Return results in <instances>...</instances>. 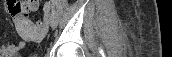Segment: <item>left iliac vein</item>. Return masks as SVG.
Listing matches in <instances>:
<instances>
[{
  "label": "left iliac vein",
  "instance_id": "4c4485c4",
  "mask_svg": "<svg viewBox=\"0 0 172 57\" xmlns=\"http://www.w3.org/2000/svg\"><path fill=\"white\" fill-rule=\"evenodd\" d=\"M49 5L46 6V12L49 11ZM45 20L49 23L52 28H55L58 23L57 13L55 10H51L50 14L45 15Z\"/></svg>",
  "mask_w": 172,
  "mask_h": 57
}]
</instances>
